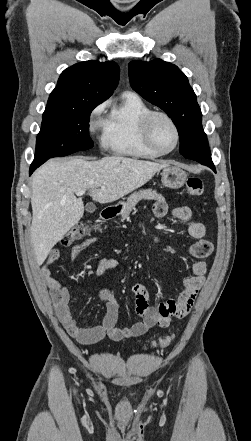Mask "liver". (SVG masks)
Instances as JSON below:
<instances>
[{
    "label": "liver",
    "instance_id": "6515ba94",
    "mask_svg": "<svg viewBox=\"0 0 251 441\" xmlns=\"http://www.w3.org/2000/svg\"><path fill=\"white\" fill-rule=\"evenodd\" d=\"M168 166V162L123 156L46 162L32 177L31 240L37 264H43L51 249L82 218L84 205L74 195L76 192L88 190L90 197L101 204L114 202Z\"/></svg>",
    "mask_w": 251,
    "mask_h": 441
}]
</instances>
